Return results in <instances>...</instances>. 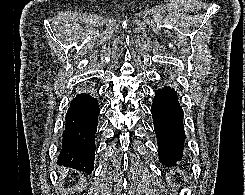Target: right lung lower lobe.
<instances>
[{"label":"right lung lower lobe","instance_id":"obj_1","mask_svg":"<svg viewBox=\"0 0 245 195\" xmlns=\"http://www.w3.org/2000/svg\"><path fill=\"white\" fill-rule=\"evenodd\" d=\"M100 109L97 99L89 93H80L71 101L66 114L62 149L58 164L87 174L94 169V136Z\"/></svg>","mask_w":245,"mask_h":195}]
</instances>
